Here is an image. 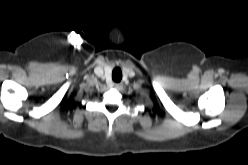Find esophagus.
<instances>
[{
  "instance_id": "obj_1",
  "label": "esophagus",
  "mask_w": 248,
  "mask_h": 165,
  "mask_svg": "<svg viewBox=\"0 0 248 165\" xmlns=\"http://www.w3.org/2000/svg\"><path fill=\"white\" fill-rule=\"evenodd\" d=\"M113 87L117 90H121L123 88V84L122 83H114Z\"/></svg>"
}]
</instances>
